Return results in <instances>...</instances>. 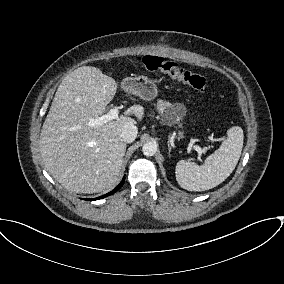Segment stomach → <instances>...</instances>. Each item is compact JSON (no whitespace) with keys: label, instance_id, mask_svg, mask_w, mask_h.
<instances>
[{"label":"stomach","instance_id":"1","mask_svg":"<svg viewBox=\"0 0 284 284\" xmlns=\"http://www.w3.org/2000/svg\"><path fill=\"white\" fill-rule=\"evenodd\" d=\"M122 88L144 100H152L157 96L156 84L145 76L127 77L122 81Z\"/></svg>","mask_w":284,"mask_h":284}]
</instances>
